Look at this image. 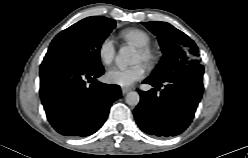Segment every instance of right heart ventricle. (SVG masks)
I'll return each mask as SVG.
<instances>
[{"instance_id":"e07e8e85","label":"right heart ventricle","mask_w":248,"mask_h":158,"mask_svg":"<svg viewBox=\"0 0 248 158\" xmlns=\"http://www.w3.org/2000/svg\"><path fill=\"white\" fill-rule=\"evenodd\" d=\"M119 36L126 42L135 47L149 46L151 43L150 35L144 30L131 28L120 32Z\"/></svg>"}]
</instances>
